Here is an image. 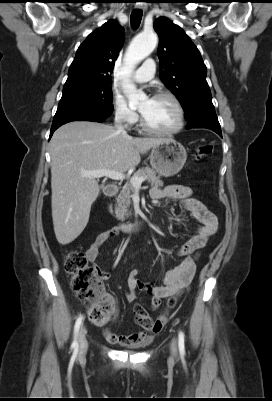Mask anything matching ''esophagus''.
Here are the masks:
<instances>
[{
  "instance_id": "1",
  "label": "esophagus",
  "mask_w": 272,
  "mask_h": 401,
  "mask_svg": "<svg viewBox=\"0 0 272 401\" xmlns=\"http://www.w3.org/2000/svg\"><path fill=\"white\" fill-rule=\"evenodd\" d=\"M136 7H137V8H140V9H143V10H145V9H146V7H145V6H143V5H141V4H137V5H136Z\"/></svg>"
}]
</instances>
